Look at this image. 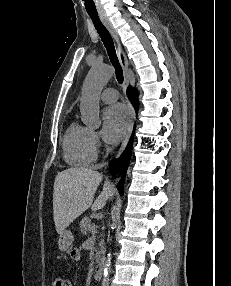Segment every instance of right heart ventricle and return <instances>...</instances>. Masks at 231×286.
Returning <instances> with one entry per match:
<instances>
[{"label": "right heart ventricle", "mask_w": 231, "mask_h": 286, "mask_svg": "<svg viewBox=\"0 0 231 286\" xmlns=\"http://www.w3.org/2000/svg\"><path fill=\"white\" fill-rule=\"evenodd\" d=\"M62 149L65 162L73 167L89 166L97 159L92 132L77 122H72L66 129Z\"/></svg>", "instance_id": "obj_1"}]
</instances>
